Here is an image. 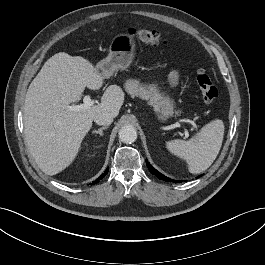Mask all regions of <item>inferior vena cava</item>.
I'll return each instance as SVG.
<instances>
[{"instance_id":"602c4592","label":"inferior vena cava","mask_w":265,"mask_h":265,"mask_svg":"<svg viewBox=\"0 0 265 265\" xmlns=\"http://www.w3.org/2000/svg\"><path fill=\"white\" fill-rule=\"evenodd\" d=\"M114 115L110 112H100L94 117V122L98 125H110L113 121Z\"/></svg>"}]
</instances>
